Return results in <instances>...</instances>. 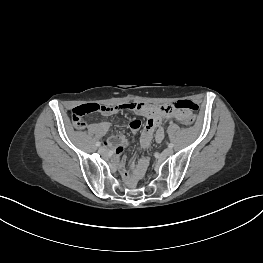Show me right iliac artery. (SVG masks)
<instances>
[{
	"label": "right iliac artery",
	"mask_w": 263,
	"mask_h": 263,
	"mask_svg": "<svg viewBox=\"0 0 263 263\" xmlns=\"http://www.w3.org/2000/svg\"><path fill=\"white\" fill-rule=\"evenodd\" d=\"M100 145H101V143L98 141V142L96 143V146L99 147Z\"/></svg>",
	"instance_id": "obj_1"
}]
</instances>
